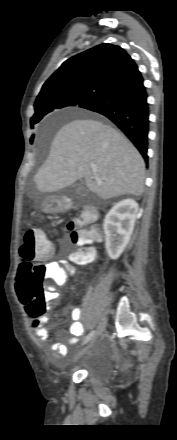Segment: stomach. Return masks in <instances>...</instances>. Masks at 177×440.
Masks as SVG:
<instances>
[{
  "label": "stomach",
  "instance_id": "obj_1",
  "mask_svg": "<svg viewBox=\"0 0 177 440\" xmlns=\"http://www.w3.org/2000/svg\"><path fill=\"white\" fill-rule=\"evenodd\" d=\"M41 207L46 212H53L58 209L59 206L54 205L52 198H47L41 203Z\"/></svg>",
  "mask_w": 177,
  "mask_h": 440
}]
</instances>
